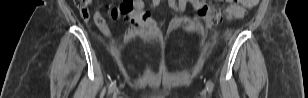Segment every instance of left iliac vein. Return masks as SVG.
Instances as JSON below:
<instances>
[{"mask_svg":"<svg viewBox=\"0 0 308 98\" xmlns=\"http://www.w3.org/2000/svg\"><path fill=\"white\" fill-rule=\"evenodd\" d=\"M204 98H206V89L203 91Z\"/></svg>","mask_w":308,"mask_h":98,"instance_id":"left-iliac-vein-1","label":"left iliac vein"}]
</instances>
